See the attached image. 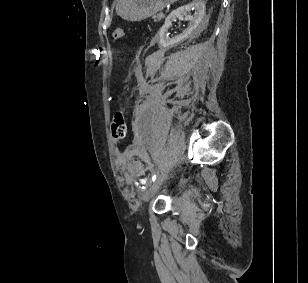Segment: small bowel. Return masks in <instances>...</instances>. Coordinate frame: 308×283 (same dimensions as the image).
Returning <instances> with one entry per match:
<instances>
[{
    "instance_id": "obj_1",
    "label": "small bowel",
    "mask_w": 308,
    "mask_h": 283,
    "mask_svg": "<svg viewBox=\"0 0 308 283\" xmlns=\"http://www.w3.org/2000/svg\"><path fill=\"white\" fill-rule=\"evenodd\" d=\"M118 168L121 172L125 173V177L127 179L131 177V173L127 172L126 164L122 159H120L118 162Z\"/></svg>"
}]
</instances>
